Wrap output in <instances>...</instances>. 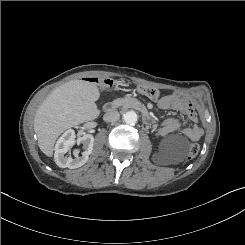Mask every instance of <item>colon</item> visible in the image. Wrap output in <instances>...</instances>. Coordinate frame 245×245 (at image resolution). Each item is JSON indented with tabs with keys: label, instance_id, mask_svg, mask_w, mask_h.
<instances>
[{
	"label": "colon",
	"instance_id": "colon-1",
	"mask_svg": "<svg viewBox=\"0 0 245 245\" xmlns=\"http://www.w3.org/2000/svg\"><path fill=\"white\" fill-rule=\"evenodd\" d=\"M138 91L143 95L152 99H156L160 96V91L157 88L151 86H139ZM199 151H200V146L197 143L191 144L188 151V158L189 159L195 158L198 155Z\"/></svg>",
	"mask_w": 245,
	"mask_h": 245
}]
</instances>
